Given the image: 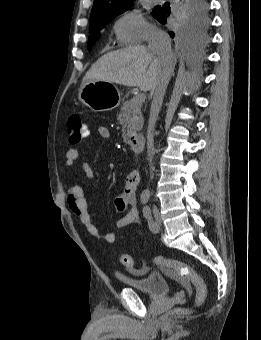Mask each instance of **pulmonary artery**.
Returning <instances> with one entry per match:
<instances>
[{"label":"pulmonary artery","mask_w":261,"mask_h":340,"mask_svg":"<svg viewBox=\"0 0 261 340\" xmlns=\"http://www.w3.org/2000/svg\"><path fill=\"white\" fill-rule=\"evenodd\" d=\"M155 3H159L161 0H153Z\"/></svg>","instance_id":"1"}]
</instances>
